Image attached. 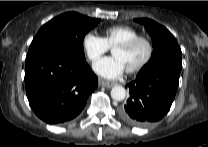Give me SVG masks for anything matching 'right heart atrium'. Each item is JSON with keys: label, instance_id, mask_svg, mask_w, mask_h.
<instances>
[{"label": "right heart atrium", "instance_id": "right-heart-atrium-1", "mask_svg": "<svg viewBox=\"0 0 208 147\" xmlns=\"http://www.w3.org/2000/svg\"><path fill=\"white\" fill-rule=\"evenodd\" d=\"M82 45L87 58L91 62L97 61L109 50L105 39L93 32H88L84 35Z\"/></svg>", "mask_w": 208, "mask_h": 147}]
</instances>
